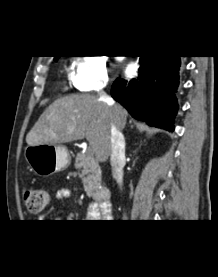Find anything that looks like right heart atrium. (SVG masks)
I'll return each mask as SVG.
<instances>
[{
	"instance_id": "1",
	"label": "right heart atrium",
	"mask_w": 218,
	"mask_h": 277,
	"mask_svg": "<svg viewBox=\"0 0 218 277\" xmlns=\"http://www.w3.org/2000/svg\"><path fill=\"white\" fill-rule=\"evenodd\" d=\"M108 79L106 58L97 53H87L75 63L69 83L75 90L88 92L105 87Z\"/></svg>"
}]
</instances>
